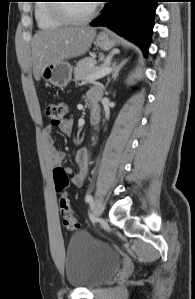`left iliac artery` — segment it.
<instances>
[{
    "mask_svg": "<svg viewBox=\"0 0 195 299\" xmlns=\"http://www.w3.org/2000/svg\"><path fill=\"white\" fill-rule=\"evenodd\" d=\"M85 201L87 203H92L93 202V197L92 195L88 194L86 197H85Z\"/></svg>",
    "mask_w": 195,
    "mask_h": 299,
    "instance_id": "left-iliac-artery-1",
    "label": "left iliac artery"
}]
</instances>
